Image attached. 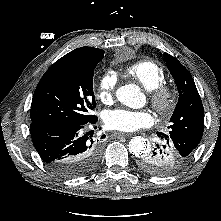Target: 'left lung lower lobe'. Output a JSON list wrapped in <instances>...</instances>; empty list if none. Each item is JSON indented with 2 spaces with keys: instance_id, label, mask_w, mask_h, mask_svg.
<instances>
[{
  "instance_id": "1",
  "label": "left lung lower lobe",
  "mask_w": 221,
  "mask_h": 221,
  "mask_svg": "<svg viewBox=\"0 0 221 221\" xmlns=\"http://www.w3.org/2000/svg\"><path fill=\"white\" fill-rule=\"evenodd\" d=\"M160 141L155 149L141 156L138 167L145 173L155 176H169L181 170L188 161L182 157L169 136L157 132Z\"/></svg>"
}]
</instances>
